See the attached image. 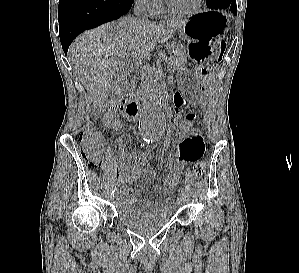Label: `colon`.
<instances>
[{
  "instance_id": "1",
  "label": "colon",
  "mask_w": 299,
  "mask_h": 273,
  "mask_svg": "<svg viewBox=\"0 0 299 273\" xmlns=\"http://www.w3.org/2000/svg\"><path fill=\"white\" fill-rule=\"evenodd\" d=\"M225 43L221 42L218 47L219 61L223 55ZM196 126V114L188 113L182 121L177 125V140L178 142L188 138L194 131ZM79 142L81 145L82 154L88 165L97 169L100 166L101 140L97 132L90 126H85L79 134ZM206 171V165L202 161H197L192 168L193 176L197 179L201 178Z\"/></svg>"
}]
</instances>
